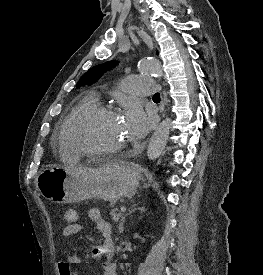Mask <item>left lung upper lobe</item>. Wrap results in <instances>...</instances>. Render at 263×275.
I'll return each mask as SVG.
<instances>
[{
    "label": "left lung upper lobe",
    "instance_id": "obj_1",
    "mask_svg": "<svg viewBox=\"0 0 263 275\" xmlns=\"http://www.w3.org/2000/svg\"><path fill=\"white\" fill-rule=\"evenodd\" d=\"M112 64H115V62H106L105 64L94 66L80 78L77 86L79 87L85 84L91 85L94 81L99 79L105 71L110 70Z\"/></svg>",
    "mask_w": 263,
    "mask_h": 275
}]
</instances>
